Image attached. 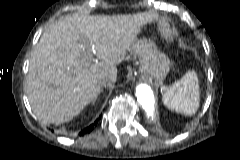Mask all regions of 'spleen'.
<instances>
[{
    "instance_id": "obj_1",
    "label": "spleen",
    "mask_w": 240,
    "mask_h": 160,
    "mask_svg": "<svg viewBox=\"0 0 240 160\" xmlns=\"http://www.w3.org/2000/svg\"><path fill=\"white\" fill-rule=\"evenodd\" d=\"M162 100L168 108L178 113L195 114L200 100L197 74L194 71H188L167 89Z\"/></svg>"
}]
</instances>
